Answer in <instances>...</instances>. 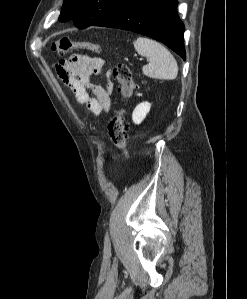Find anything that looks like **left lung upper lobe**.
<instances>
[{
	"instance_id": "1",
	"label": "left lung upper lobe",
	"mask_w": 247,
	"mask_h": 299,
	"mask_svg": "<svg viewBox=\"0 0 247 299\" xmlns=\"http://www.w3.org/2000/svg\"><path fill=\"white\" fill-rule=\"evenodd\" d=\"M122 0H64L60 21L72 19L78 28L91 26Z\"/></svg>"
}]
</instances>
